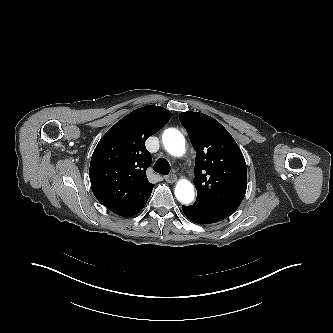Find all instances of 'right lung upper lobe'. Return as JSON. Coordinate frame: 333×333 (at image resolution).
I'll use <instances>...</instances> for the list:
<instances>
[{
    "instance_id": "right-lung-upper-lobe-1",
    "label": "right lung upper lobe",
    "mask_w": 333,
    "mask_h": 333,
    "mask_svg": "<svg viewBox=\"0 0 333 333\" xmlns=\"http://www.w3.org/2000/svg\"><path fill=\"white\" fill-rule=\"evenodd\" d=\"M171 115L160 106L136 109L118 121L97 144L90 162L91 187L98 201L113 213L130 217L150 197L154 184L146 176L151 154L145 141Z\"/></svg>"
}]
</instances>
